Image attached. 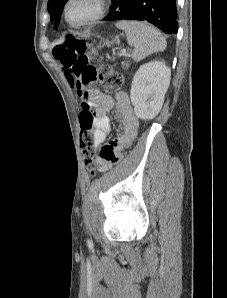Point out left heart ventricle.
Instances as JSON below:
<instances>
[{"mask_svg": "<svg viewBox=\"0 0 227 298\" xmlns=\"http://www.w3.org/2000/svg\"><path fill=\"white\" fill-rule=\"evenodd\" d=\"M96 0H72L69 6V17L72 22L80 23L95 14Z\"/></svg>", "mask_w": 227, "mask_h": 298, "instance_id": "b2bd125f", "label": "left heart ventricle"}]
</instances>
